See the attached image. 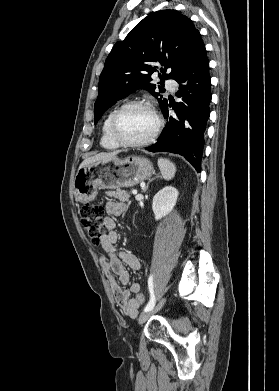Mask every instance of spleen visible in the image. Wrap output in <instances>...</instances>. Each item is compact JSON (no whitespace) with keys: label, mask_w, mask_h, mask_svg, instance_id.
<instances>
[{"label":"spleen","mask_w":279,"mask_h":391,"mask_svg":"<svg viewBox=\"0 0 279 391\" xmlns=\"http://www.w3.org/2000/svg\"><path fill=\"white\" fill-rule=\"evenodd\" d=\"M158 167L165 180H171L175 176L176 167L170 160L164 158L158 159Z\"/></svg>","instance_id":"spleen-1"}]
</instances>
